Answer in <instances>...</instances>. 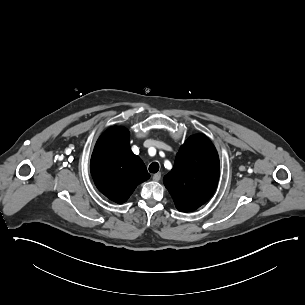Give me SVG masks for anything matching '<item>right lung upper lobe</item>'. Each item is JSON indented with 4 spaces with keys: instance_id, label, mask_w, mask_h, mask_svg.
<instances>
[{
    "instance_id": "1",
    "label": "right lung upper lobe",
    "mask_w": 305,
    "mask_h": 305,
    "mask_svg": "<svg viewBox=\"0 0 305 305\" xmlns=\"http://www.w3.org/2000/svg\"><path fill=\"white\" fill-rule=\"evenodd\" d=\"M129 136L123 127L106 130L95 145L90 163L96 187L118 204L124 203L150 177L143 161L131 151Z\"/></svg>"
}]
</instances>
